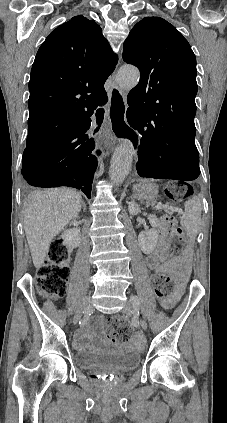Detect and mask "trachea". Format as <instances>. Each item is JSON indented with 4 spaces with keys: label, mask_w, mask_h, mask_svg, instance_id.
Segmentation results:
<instances>
[{
    "label": "trachea",
    "mask_w": 227,
    "mask_h": 423,
    "mask_svg": "<svg viewBox=\"0 0 227 423\" xmlns=\"http://www.w3.org/2000/svg\"><path fill=\"white\" fill-rule=\"evenodd\" d=\"M96 115H97V116H101V117H103V116H104V109H103V108H99V109L97 110V112H96Z\"/></svg>",
    "instance_id": "obj_1"
}]
</instances>
